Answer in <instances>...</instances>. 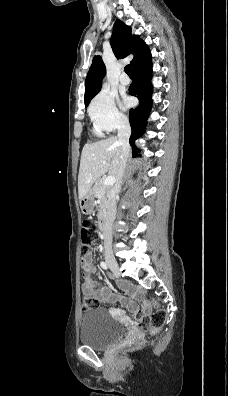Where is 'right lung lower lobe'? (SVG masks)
<instances>
[{"instance_id": "1", "label": "right lung lower lobe", "mask_w": 228, "mask_h": 396, "mask_svg": "<svg viewBox=\"0 0 228 396\" xmlns=\"http://www.w3.org/2000/svg\"><path fill=\"white\" fill-rule=\"evenodd\" d=\"M151 66V53L148 51L133 68L135 79L129 87V94L139 99L138 107L131 109L129 113V121L132 129L129 142L132 146L133 154L140 152L135 145V140L142 136L145 131L146 120L152 105Z\"/></svg>"}]
</instances>
